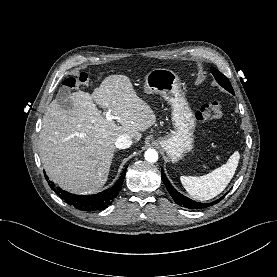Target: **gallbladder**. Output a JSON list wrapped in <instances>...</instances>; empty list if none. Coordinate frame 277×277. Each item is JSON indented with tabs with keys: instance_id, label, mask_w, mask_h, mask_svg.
I'll list each match as a JSON object with an SVG mask.
<instances>
[{
	"instance_id": "obj_1",
	"label": "gallbladder",
	"mask_w": 277,
	"mask_h": 277,
	"mask_svg": "<svg viewBox=\"0 0 277 277\" xmlns=\"http://www.w3.org/2000/svg\"><path fill=\"white\" fill-rule=\"evenodd\" d=\"M69 94H70V91L66 87L61 88L57 94V100L60 106L64 109L72 108V103L68 100Z\"/></svg>"
}]
</instances>
